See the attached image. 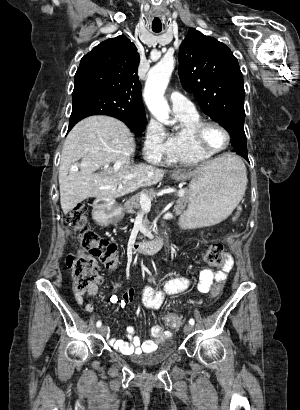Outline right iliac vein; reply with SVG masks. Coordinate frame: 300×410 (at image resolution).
<instances>
[{
	"mask_svg": "<svg viewBox=\"0 0 300 410\" xmlns=\"http://www.w3.org/2000/svg\"><path fill=\"white\" fill-rule=\"evenodd\" d=\"M98 331H99L100 334H105V333H106V327H105V326H101V327L98 329Z\"/></svg>",
	"mask_w": 300,
	"mask_h": 410,
	"instance_id": "obj_1",
	"label": "right iliac vein"
}]
</instances>
